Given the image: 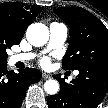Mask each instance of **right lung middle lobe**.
<instances>
[{
	"instance_id": "obj_1",
	"label": "right lung middle lobe",
	"mask_w": 108,
	"mask_h": 108,
	"mask_svg": "<svg viewBox=\"0 0 108 108\" xmlns=\"http://www.w3.org/2000/svg\"><path fill=\"white\" fill-rule=\"evenodd\" d=\"M14 44L18 43L10 39L7 34L0 28V64L6 63L8 57L6 49L10 48Z\"/></svg>"
}]
</instances>
